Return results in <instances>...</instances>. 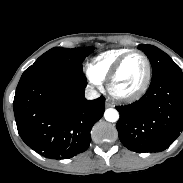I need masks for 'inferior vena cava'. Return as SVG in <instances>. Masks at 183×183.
Listing matches in <instances>:
<instances>
[{"label": "inferior vena cava", "instance_id": "602c4592", "mask_svg": "<svg viewBox=\"0 0 183 183\" xmlns=\"http://www.w3.org/2000/svg\"><path fill=\"white\" fill-rule=\"evenodd\" d=\"M100 96V94L93 89V87H87L85 90V98L88 100L96 99Z\"/></svg>", "mask_w": 183, "mask_h": 183}]
</instances>
